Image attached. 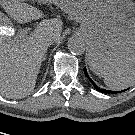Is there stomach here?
Wrapping results in <instances>:
<instances>
[{
    "mask_svg": "<svg viewBox=\"0 0 135 135\" xmlns=\"http://www.w3.org/2000/svg\"><path fill=\"white\" fill-rule=\"evenodd\" d=\"M54 3L81 24L88 63L98 75L135 65V4L132 0H38Z\"/></svg>",
    "mask_w": 135,
    "mask_h": 135,
    "instance_id": "1",
    "label": "stomach"
}]
</instances>
